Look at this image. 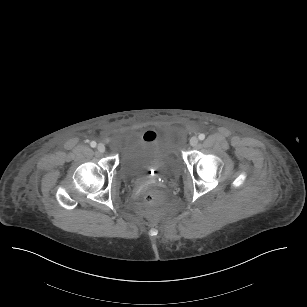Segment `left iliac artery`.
Masks as SVG:
<instances>
[{
  "instance_id": "44dca946",
  "label": "left iliac artery",
  "mask_w": 307,
  "mask_h": 307,
  "mask_svg": "<svg viewBox=\"0 0 307 307\" xmlns=\"http://www.w3.org/2000/svg\"><path fill=\"white\" fill-rule=\"evenodd\" d=\"M198 138H199L200 140H204V139H205V134L201 133V134L198 136Z\"/></svg>"
}]
</instances>
